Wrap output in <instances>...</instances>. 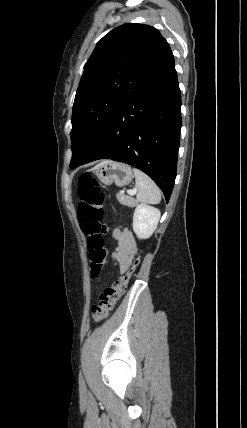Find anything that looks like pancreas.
Instances as JSON below:
<instances>
[{
    "label": "pancreas",
    "instance_id": "obj_1",
    "mask_svg": "<svg viewBox=\"0 0 247 428\" xmlns=\"http://www.w3.org/2000/svg\"><path fill=\"white\" fill-rule=\"evenodd\" d=\"M116 197L117 200L125 206L134 207L138 204V202L134 198L126 196L123 193H117Z\"/></svg>",
    "mask_w": 247,
    "mask_h": 428
}]
</instances>
